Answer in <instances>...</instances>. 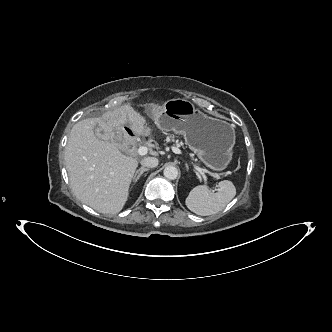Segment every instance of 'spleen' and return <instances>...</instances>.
Segmentation results:
<instances>
[{"label":"spleen","mask_w":332,"mask_h":332,"mask_svg":"<svg viewBox=\"0 0 332 332\" xmlns=\"http://www.w3.org/2000/svg\"><path fill=\"white\" fill-rule=\"evenodd\" d=\"M218 192L210 193L207 186L193 188L185 200L186 206L200 216H208L220 212L235 197L236 188L231 181L219 182Z\"/></svg>","instance_id":"spleen-1"}]
</instances>
